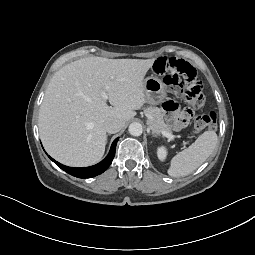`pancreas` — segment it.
Wrapping results in <instances>:
<instances>
[{
	"mask_svg": "<svg viewBox=\"0 0 255 255\" xmlns=\"http://www.w3.org/2000/svg\"><path fill=\"white\" fill-rule=\"evenodd\" d=\"M145 115L148 118V125L154 134H160L162 131L171 133V127L164 122L161 110L157 107H148L145 109Z\"/></svg>",
	"mask_w": 255,
	"mask_h": 255,
	"instance_id": "cf45deb5",
	"label": "pancreas"
}]
</instances>
